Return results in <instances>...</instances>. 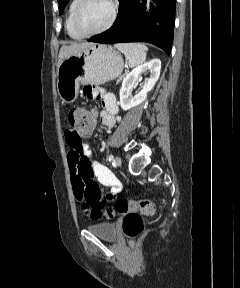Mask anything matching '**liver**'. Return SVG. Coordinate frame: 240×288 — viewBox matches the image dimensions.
Instances as JSON below:
<instances>
[{
	"mask_svg": "<svg viewBox=\"0 0 240 288\" xmlns=\"http://www.w3.org/2000/svg\"><path fill=\"white\" fill-rule=\"evenodd\" d=\"M92 43L83 42V43H72L71 45L62 46L59 52L58 66L63 62L64 59L81 52L83 49L91 45Z\"/></svg>",
	"mask_w": 240,
	"mask_h": 288,
	"instance_id": "1",
	"label": "liver"
}]
</instances>
